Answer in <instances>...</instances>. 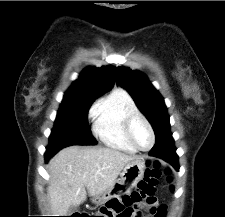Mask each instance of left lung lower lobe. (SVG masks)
Listing matches in <instances>:
<instances>
[{
  "label": "left lung lower lobe",
  "instance_id": "1",
  "mask_svg": "<svg viewBox=\"0 0 225 217\" xmlns=\"http://www.w3.org/2000/svg\"><path fill=\"white\" fill-rule=\"evenodd\" d=\"M149 155L151 156H156L159 157L167 162H169L176 170H179V165H178V156L175 151L168 152V153H151L149 152Z\"/></svg>",
  "mask_w": 225,
  "mask_h": 217
}]
</instances>
